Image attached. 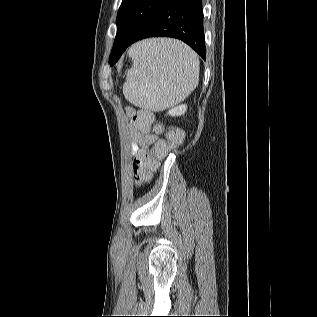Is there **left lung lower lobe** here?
I'll use <instances>...</instances> for the list:
<instances>
[{
    "mask_svg": "<svg viewBox=\"0 0 317 317\" xmlns=\"http://www.w3.org/2000/svg\"><path fill=\"white\" fill-rule=\"evenodd\" d=\"M201 0H165L145 21L134 37L123 44H114L113 64L131 44L149 37H173L182 40L205 60Z\"/></svg>",
    "mask_w": 317,
    "mask_h": 317,
    "instance_id": "0a47b994",
    "label": "left lung lower lobe"
}]
</instances>
